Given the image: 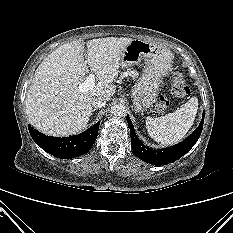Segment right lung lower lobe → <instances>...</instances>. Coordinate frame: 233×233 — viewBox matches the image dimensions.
Segmentation results:
<instances>
[{"mask_svg":"<svg viewBox=\"0 0 233 233\" xmlns=\"http://www.w3.org/2000/svg\"><path fill=\"white\" fill-rule=\"evenodd\" d=\"M100 121L81 134L70 137H51L29 127L33 140L46 152L57 158L69 159L87 153L97 138Z\"/></svg>","mask_w":233,"mask_h":233,"instance_id":"1","label":"right lung lower lobe"}]
</instances>
